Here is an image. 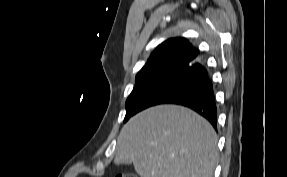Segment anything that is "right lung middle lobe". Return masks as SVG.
I'll list each match as a JSON object with an SVG mask.
<instances>
[{
    "instance_id": "right-lung-middle-lobe-1",
    "label": "right lung middle lobe",
    "mask_w": 287,
    "mask_h": 177,
    "mask_svg": "<svg viewBox=\"0 0 287 177\" xmlns=\"http://www.w3.org/2000/svg\"><path fill=\"white\" fill-rule=\"evenodd\" d=\"M181 65V61L176 59L164 60L150 66L143 67L136 76V83L133 91L126 101V109L147 90V88L165 73ZM131 117V113L127 112L124 121Z\"/></svg>"
}]
</instances>
